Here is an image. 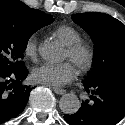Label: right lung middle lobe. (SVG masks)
Listing matches in <instances>:
<instances>
[{"label": "right lung middle lobe", "instance_id": "obj_1", "mask_svg": "<svg viewBox=\"0 0 125 125\" xmlns=\"http://www.w3.org/2000/svg\"><path fill=\"white\" fill-rule=\"evenodd\" d=\"M53 21L52 15L45 14L34 27L21 28L0 20V66L11 70L24 66L21 58L24 57L29 38L38 29Z\"/></svg>", "mask_w": 125, "mask_h": 125}]
</instances>
